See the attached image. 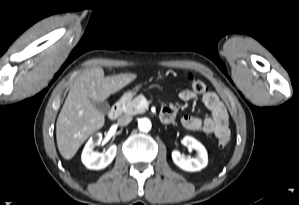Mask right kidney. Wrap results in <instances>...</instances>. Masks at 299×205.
I'll use <instances>...</instances> for the list:
<instances>
[{
    "mask_svg": "<svg viewBox=\"0 0 299 205\" xmlns=\"http://www.w3.org/2000/svg\"><path fill=\"white\" fill-rule=\"evenodd\" d=\"M102 140V134L93 135L86 143L81 160L88 169L99 170L107 167L114 159L117 151L116 145H111L105 153L95 152L94 148L99 145Z\"/></svg>",
    "mask_w": 299,
    "mask_h": 205,
    "instance_id": "1",
    "label": "right kidney"
}]
</instances>
